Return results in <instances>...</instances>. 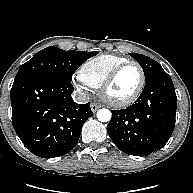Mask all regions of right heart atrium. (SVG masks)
I'll use <instances>...</instances> for the list:
<instances>
[{
	"label": "right heart atrium",
	"mask_w": 193,
	"mask_h": 193,
	"mask_svg": "<svg viewBox=\"0 0 193 193\" xmlns=\"http://www.w3.org/2000/svg\"><path fill=\"white\" fill-rule=\"evenodd\" d=\"M73 82H74V84H75L77 87L82 88V89L84 88V87H83V83H82V81H81L80 78H74Z\"/></svg>",
	"instance_id": "1"
}]
</instances>
